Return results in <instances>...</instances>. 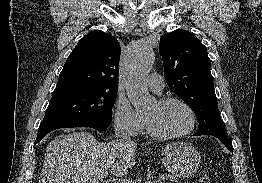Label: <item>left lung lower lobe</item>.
I'll return each mask as SVG.
<instances>
[{
    "label": "left lung lower lobe",
    "mask_w": 262,
    "mask_h": 183,
    "mask_svg": "<svg viewBox=\"0 0 262 183\" xmlns=\"http://www.w3.org/2000/svg\"><path fill=\"white\" fill-rule=\"evenodd\" d=\"M213 136L217 137L231 152H233V146L230 141V139L226 136L223 135H217L213 134Z\"/></svg>",
    "instance_id": "0a47b994"
}]
</instances>
